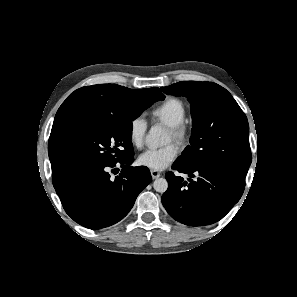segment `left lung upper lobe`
<instances>
[{"mask_svg":"<svg viewBox=\"0 0 297 297\" xmlns=\"http://www.w3.org/2000/svg\"><path fill=\"white\" fill-rule=\"evenodd\" d=\"M161 89L168 95L185 96L191 104L190 145L175 163L219 170L245 180L252 161L249 125L231 94L212 82L183 81Z\"/></svg>","mask_w":297,"mask_h":297,"instance_id":"left-lung-upper-lobe-1","label":"left lung upper lobe"}]
</instances>
